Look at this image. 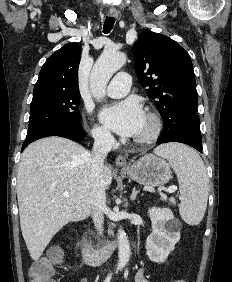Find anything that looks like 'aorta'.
Masks as SVG:
<instances>
[{"mask_svg": "<svg viewBox=\"0 0 232 282\" xmlns=\"http://www.w3.org/2000/svg\"><path fill=\"white\" fill-rule=\"evenodd\" d=\"M126 62V55L117 50H105L94 64L90 74V89L97 99L103 98L107 84L112 75ZM118 264L117 270H122L130 259V244L125 231L118 230Z\"/></svg>", "mask_w": 232, "mask_h": 282, "instance_id": "aorta-1", "label": "aorta"}]
</instances>
